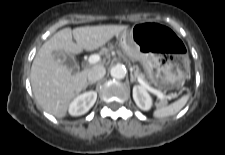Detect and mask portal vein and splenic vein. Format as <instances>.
Wrapping results in <instances>:
<instances>
[{
	"label": "portal vein and splenic vein",
	"mask_w": 225,
	"mask_h": 155,
	"mask_svg": "<svg viewBox=\"0 0 225 155\" xmlns=\"http://www.w3.org/2000/svg\"><path fill=\"white\" fill-rule=\"evenodd\" d=\"M100 61V56L98 54H93L88 58V62L90 64H95L97 62ZM139 83L144 86L145 88H147L150 92H152L153 94H155L156 96H158L159 98H164L163 93H161L160 91L154 89L153 87L149 86L142 78L137 77Z\"/></svg>",
	"instance_id": "portal-vein-and-splenic-vein-1"
}]
</instances>
